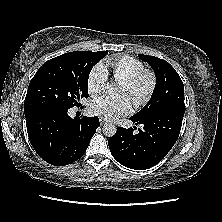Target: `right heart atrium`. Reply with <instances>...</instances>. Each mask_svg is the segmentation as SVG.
I'll list each match as a JSON object with an SVG mask.
<instances>
[{
	"mask_svg": "<svg viewBox=\"0 0 222 222\" xmlns=\"http://www.w3.org/2000/svg\"><path fill=\"white\" fill-rule=\"evenodd\" d=\"M108 76L102 65H96L90 71L87 79V90L91 95H97L106 89Z\"/></svg>",
	"mask_w": 222,
	"mask_h": 222,
	"instance_id": "obj_1",
	"label": "right heart atrium"
}]
</instances>
